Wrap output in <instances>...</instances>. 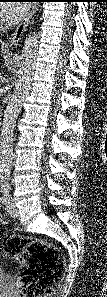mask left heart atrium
I'll return each mask as SVG.
<instances>
[{
  "label": "left heart atrium",
  "instance_id": "1",
  "mask_svg": "<svg viewBox=\"0 0 107 297\" xmlns=\"http://www.w3.org/2000/svg\"><path fill=\"white\" fill-rule=\"evenodd\" d=\"M29 5L26 3L8 4L2 11L8 21L15 22L20 20L28 12Z\"/></svg>",
  "mask_w": 107,
  "mask_h": 297
}]
</instances>
